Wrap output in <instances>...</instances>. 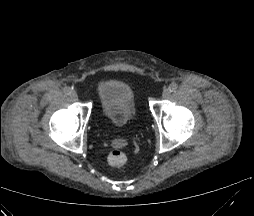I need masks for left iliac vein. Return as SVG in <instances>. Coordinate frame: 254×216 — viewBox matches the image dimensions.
I'll list each match as a JSON object with an SVG mask.
<instances>
[{"label": "left iliac vein", "instance_id": "obj_1", "mask_svg": "<svg viewBox=\"0 0 254 216\" xmlns=\"http://www.w3.org/2000/svg\"><path fill=\"white\" fill-rule=\"evenodd\" d=\"M170 96V91L168 89H164L162 92V98L167 99Z\"/></svg>", "mask_w": 254, "mask_h": 216}]
</instances>
